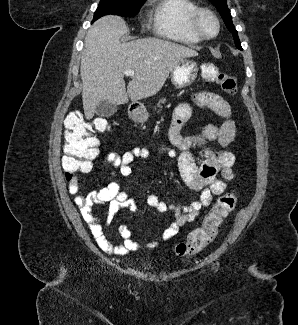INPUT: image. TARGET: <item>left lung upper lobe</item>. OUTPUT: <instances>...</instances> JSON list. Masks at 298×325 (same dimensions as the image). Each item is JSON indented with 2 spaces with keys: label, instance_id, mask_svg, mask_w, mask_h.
<instances>
[{
  "label": "left lung upper lobe",
  "instance_id": "obj_1",
  "mask_svg": "<svg viewBox=\"0 0 298 325\" xmlns=\"http://www.w3.org/2000/svg\"><path fill=\"white\" fill-rule=\"evenodd\" d=\"M212 4L215 5L217 10L219 11L221 17L223 18L225 25L227 26L228 30L233 34L235 44L238 48H240V41L237 35V31L232 23V17L230 14V10L227 7L226 0H210Z\"/></svg>",
  "mask_w": 298,
  "mask_h": 325
}]
</instances>
